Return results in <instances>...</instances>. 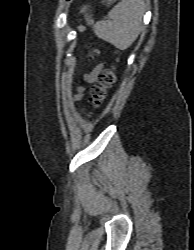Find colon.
Masks as SVG:
<instances>
[{"mask_svg": "<svg viewBox=\"0 0 194 250\" xmlns=\"http://www.w3.org/2000/svg\"><path fill=\"white\" fill-rule=\"evenodd\" d=\"M97 54L94 49L90 52L89 57L92 59ZM116 80L115 68H107L99 75L98 83L91 88V103L98 106L105 98L107 90Z\"/></svg>", "mask_w": 194, "mask_h": 250, "instance_id": "colon-1", "label": "colon"}]
</instances>
